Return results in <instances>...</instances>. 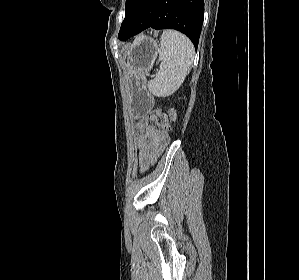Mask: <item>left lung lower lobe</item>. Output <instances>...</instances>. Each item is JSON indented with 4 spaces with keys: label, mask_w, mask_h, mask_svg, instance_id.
<instances>
[{
    "label": "left lung lower lobe",
    "mask_w": 299,
    "mask_h": 280,
    "mask_svg": "<svg viewBox=\"0 0 299 280\" xmlns=\"http://www.w3.org/2000/svg\"><path fill=\"white\" fill-rule=\"evenodd\" d=\"M204 18V0H133L119 36L127 40L146 28L175 29L186 34L198 47Z\"/></svg>",
    "instance_id": "left-lung-lower-lobe-1"
}]
</instances>
